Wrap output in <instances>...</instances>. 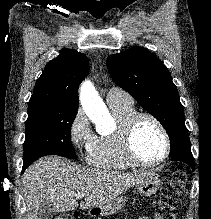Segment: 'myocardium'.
<instances>
[{
    "mask_svg": "<svg viewBox=\"0 0 211 219\" xmlns=\"http://www.w3.org/2000/svg\"><path fill=\"white\" fill-rule=\"evenodd\" d=\"M142 119L151 120L160 130L164 139V153L162 157L155 162H145L141 160L136 153L134 145V134L137 124ZM122 148L127 159L134 165L142 168H155L164 164L170 156L171 141L167 129L155 115L148 112H135L124 123L121 135Z\"/></svg>",
    "mask_w": 211,
    "mask_h": 219,
    "instance_id": "1",
    "label": "myocardium"
}]
</instances>
